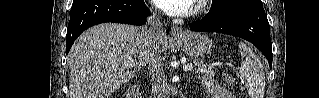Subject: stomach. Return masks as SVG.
I'll return each instance as SVG.
<instances>
[{
	"instance_id": "0dacf381",
	"label": "stomach",
	"mask_w": 319,
	"mask_h": 98,
	"mask_svg": "<svg viewBox=\"0 0 319 98\" xmlns=\"http://www.w3.org/2000/svg\"><path fill=\"white\" fill-rule=\"evenodd\" d=\"M177 43L186 54L197 58L207 56L212 46L207 35L193 32L186 33Z\"/></svg>"
}]
</instances>
